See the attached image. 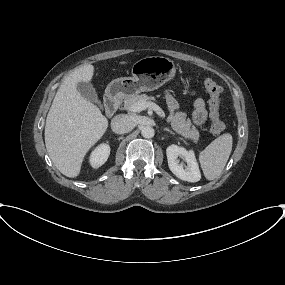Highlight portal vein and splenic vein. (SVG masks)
<instances>
[{
    "mask_svg": "<svg viewBox=\"0 0 285 285\" xmlns=\"http://www.w3.org/2000/svg\"><path fill=\"white\" fill-rule=\"evenodd\" d=\"M147 108L154 110L161 117L165 116L163 110L157 104H155L153 102L140 101L131 107V111L132 112H140V111H143Z\"/></svg>",
    "mask_w": 285,
    "mask_h": 285,
    "instance_id": "1",
    "label": "portal vein and splenic vein"
}]
</instances>
